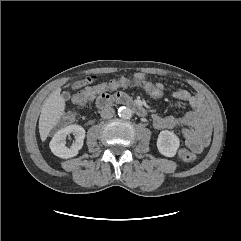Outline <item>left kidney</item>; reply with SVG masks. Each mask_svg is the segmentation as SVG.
Here are the masks:
<instances>
[{"instance_id": "5707ae66", "label": "left kidney", "mask_w": 241, "mask_h": 241, "mask_svg": "<svg viewBox=\"0 0 241 241\" xmlns=\"http://www.w3.org/2000/svg\"><path fill=\"white\" fill-rule=\"evenodd\" d=\"M180 146L178 136L168 130H163L159 133L157 139L158 151L166 157H174Z\"/></svg>"}]
</instances>
